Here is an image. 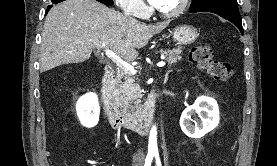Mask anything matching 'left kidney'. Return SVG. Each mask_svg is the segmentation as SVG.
Wrapping results in <instances>:
<instances>
[{"label": "left kidney", "mask_w": 277, "mask_h": 166, "mask_svg": "<svg viewBox=\"0 0 277 166\" xmlns=\"http://www.w3.org/2000/svg\"><path fill=\"white\" fill-rule=\"evenodd\" d=\"M219 119V107L216 100L211 97L200 96L193 105L183 111L180 126L188 137L201 138L218 126Z\"/></svg>", "instance_id": "left-kidney-1"}]
</instances>
